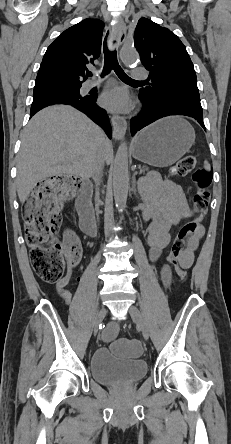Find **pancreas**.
Returning a JSON list of instances; mask_svg holds the SVG:
<instances>
[{
  "instance_id": "1",
  "label": "pancreas",
  "mask_w": 231,
  "mask_h": 444,
  "mask_svg": "<svg viewBox=\"0 0 231 444\" xmlns=\"http://www.w3.org/2000/svg\"><path fill=\"white\" fill-rule=\"evenodd\" d=\"M149 170V168L147 166H139V171L141 174H145V172H147Z\"/></svg>"
}]
</instances>
